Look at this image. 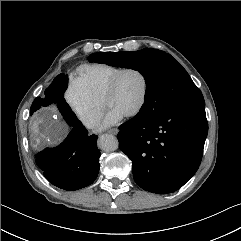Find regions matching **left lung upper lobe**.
Returning a JSON list of instances; mask_svg holds the SVG:
<instances>
[{"label": "left lung upper lobe", "mask_w": 241, "mask_h": 241, "mask_svg": "<svg viewBox=\"0 0 241 241\" xmlns=\"http://www.w3.org/2000/svg\"><path fill=\"white\" fill-rule=\"evenodd\" d=\"M89 62L105 63L114 67L139 71L147 84L145 103L160 96L164 109L179 106H205L201 91L191 80L186 70L169 54L157 49L134 52H98L88 57ZM150 113L154 114L155 111Z\"/></svg>", "instance_id": "obj_1"}]
</instances>
